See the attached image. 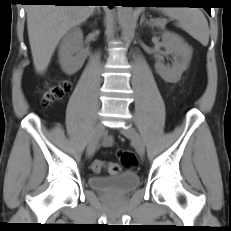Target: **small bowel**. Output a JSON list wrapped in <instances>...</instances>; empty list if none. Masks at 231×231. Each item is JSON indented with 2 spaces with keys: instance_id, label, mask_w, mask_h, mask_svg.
Returning a JSON list of instances; mask_svg holds the SVG:
<instances>
[{
  "instance_id": "obj_1",
  "label": "small bowel",
  "mask_w": 231,
  "mask_h": 231,
  "mask_svg": "<svg viewBox=\"0 0 231 231\" xmlns=\"http://www.w3.org/2000/svg\"><path fill=\"white\" fill-rule=\"evenodd\" d=\"M112 138L111 137H107L105 140H104V142H103V144H104V146H110L111 144H112Z\"/></svg>"
}]
</instances>
